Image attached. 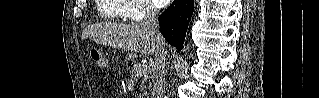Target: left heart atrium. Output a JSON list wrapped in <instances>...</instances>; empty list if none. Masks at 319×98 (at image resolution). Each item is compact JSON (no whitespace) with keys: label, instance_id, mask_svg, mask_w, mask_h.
<instances>
[{"label":"left heart atrium","instance_id":"obj_1","mask_svg":"<svg viewBox=\"0 0 319 98\" xmlns=\"http://www.w3.org/2000/svg\"><path fill=\"white\" fill-rule=\"evenodd\" d=\"M157 7H165L169 3V0H155L154 1Z\"/></svg>","mask_w":319,"mask_h":98}]
</instances>
